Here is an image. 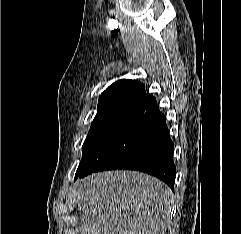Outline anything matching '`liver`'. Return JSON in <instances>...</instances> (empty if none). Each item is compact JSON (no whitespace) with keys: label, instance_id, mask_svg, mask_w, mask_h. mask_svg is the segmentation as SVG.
I'll return each instance as SVG.
<instances>
[{"label":"liver","instance_id":"1","mask_svg":"<svg viewBox=\"0 0 241 234\" xmlns=\"http://www.w3.org/2000/svg\"><path fill=\"white\" fill-rule=\"evenodd\" d=\"M83 222L73 234H164L173 193L159 179L135 171L94 173L75 189Z\"/></svg>","mask_w":241,"mask_h":234}]
</instances>
